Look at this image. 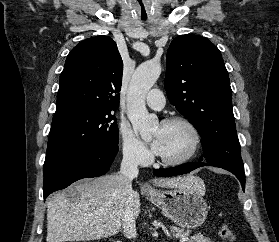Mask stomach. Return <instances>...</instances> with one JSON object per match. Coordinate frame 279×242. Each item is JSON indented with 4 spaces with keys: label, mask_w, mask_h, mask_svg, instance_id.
I'll use <instances>...</instances> for the list:
<instances>
[{
    "label": "stomach",
    "mask_w": 279,
    "mask_h": 242,
    "mask_svg": "<svg viewBox=\"0 0 279 242\" xmlns=\"http://www.w3.org/2000/svg\"><path fill=\"white\" fill-rule=\"evenodd\" d=\"M147 197L170 220L182 228L199 227L204 223L208 214V205L202 193L196 189L154 190L148 193Z\"/></svg>",
    "instance_id": "1"
}]
</instances>
